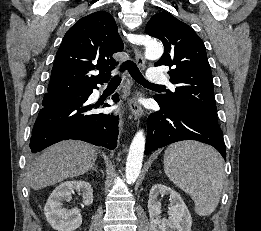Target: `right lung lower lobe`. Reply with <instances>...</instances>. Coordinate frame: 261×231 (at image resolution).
I'll return each instance as SVG.
<instances>
[{"instance_id": "obj_1", "label": "right lung lower lobe", "mask_w": 261, "mask_h": 231, "mask_svg": "<svg viewBox=\"0 0 261 231\" xmlns=\"http://www.w3.org/2000/svg\"><path fill=\"white\" fill-rule=\"evenodd\" d=\"M95 88L97 86L86 91L82 97L40 110L31 136L32 153L67 139L83 140L108 149L116 147L119 117L113 114L93 113V109L98 106L88 104L87 99ZM112 100L118 102V94H114Z\"/></svg>"}]
</instances>
